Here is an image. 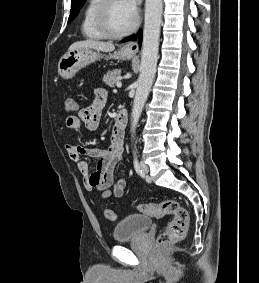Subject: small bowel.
Wrapping results in <instances>:
<instances>
[{
  "mask_svg": "<svg viewBox=\"0 0 259 283\" xmlns=\"http://www.w3.org/2000/svg\"><path fill=\"white\" fill-rule=\"evenodd\" d=\"M106 104V92L102 89L95 90V98L92 104L81 109L77 115H70L66 119V125L74 133H80L84 129L95 130L98 128L102 111ZM65 150L69 158L77 164L84 179L87 190H99L104 196L121 197L126 187V180L115 179L114 170L121 161L124 153V132H117L113 128L111 143L105 148H90L82 145L67 143ZM83 156L96 159V170L90 171L89 165Z\"/></svg>",
  "mask_w": 259,
  "mask_h": 283,
  "instance_id": "obj_1",
  "label": "small bowel"
}]
</instances>
